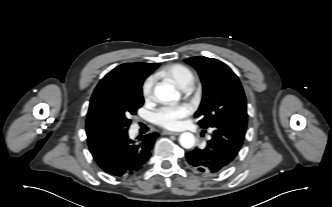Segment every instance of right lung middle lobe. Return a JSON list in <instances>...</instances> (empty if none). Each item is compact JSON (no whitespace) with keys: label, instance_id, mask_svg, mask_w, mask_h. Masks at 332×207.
Masks as SVG:
<instances>
[{"label":"right lung middle lobe","instance_id":"right-lung-middle-lobe-1","mask_svg":"<svg viewBox=\"0 0 332 207\" xmlns=\"http://www.w3.org/2000/svg\"><path fill=\"white\" fill-rule=\"evenodd\" d=\"M143 80L113 83L93 94L87 113V136L128 130L130 114H136L143 103Z\"/></svg>","mask_w":332,"mask_h":207}]
</instances>
